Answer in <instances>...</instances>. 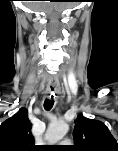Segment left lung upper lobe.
Listing matches in <instances>:
<instances>
[{
	"instance_id": "obj_1",
	"label": "left lung upper lobe",
	"mask_w": 118,
	"mask_h": 151,
	"mask_svg": "<svg viewBox=\"0 0 118 151\" xmlns=\"http://www.w3.org/2000/svg\"><path fill=\"white\" fill-rule=\"evenodd\" d=\"M73 137L78 151H118L117 141L107 126L82 114L76 120Z\"/></svg>"
}]
</instances>
